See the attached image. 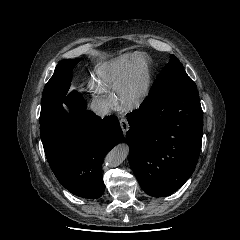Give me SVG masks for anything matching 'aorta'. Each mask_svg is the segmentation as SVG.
<instances>
[{
    "instance_id": "1",
    "label": "aorta",
    "mask_w": 240,
    "mask_h": 240,
    "mask_svg": "<svg viewBox=\"0 0 240 240\" xmlns=\"http://www.w3.org/2000/svg\"><path fill=\"white\" fill-rule=\"evenodd\" d=\"M129 148L125 144H119L114 147L107 155V162L110 165L117 166L121 164L128 156Z\"/></svg>"
}]
</instances>
